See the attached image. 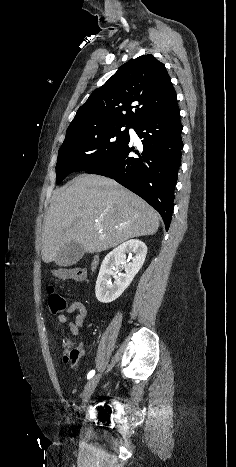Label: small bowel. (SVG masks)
I'll list each match as a JSON object with an SVG mask.
<instances>
[{
    "instance_id": "small-bowel-1",
    "label": "small bowel",
    "mask_w": 236,
    "mask_h": 467,
    "mask_svg": "<svg viewBox=\"0 0 236 467\" xmlns=\"http://www.w3.org/2000/svg\"><path fill=\"white\" fill-rule=\"evenodd\" d=\"M65 313H59L57 320L59 323L66 324L69 327L70 332L73 335H79L81 329L84 326L87 309L86 306L80 301H72L66 304L64 309ZM67 314L76 313L75 319L72 321L68 318ZM64 361V360H63Z\"/></svg>"
}]
</instances>
